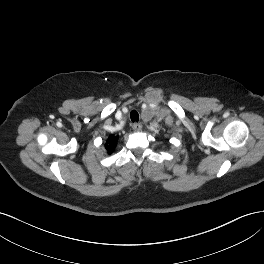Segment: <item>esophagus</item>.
I'll list each match as a JSON object with an SVG mask.
<instances>
[{
	"instance_id": "1",
	"label": "esophagus",
	"mask_w": 264,
	"mask_h": 264,
	"mask_svg": "<svg viewBox=\"0 0 264 264\" xmlns=\"http://www.w3.org/2000/svg\"><path fill=\"white\" fill-rule=\"evenodd\" d=\"M132 128L135 130V131H140L142 129V124L141 123H134L132 125Z\"/></svg>"
}]
</instances>
